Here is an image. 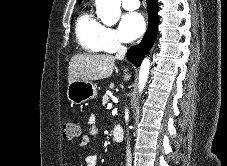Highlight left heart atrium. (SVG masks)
Returning a JSON list of instances; mask_svg holds the SVG:
<instances>
[{
	"instance_id": "obj_1",
	"label": "left heart atrium",
	"mask_w": 227,
	"mask_h": 166,
	"mask_svg": "<svg viewBox=\"0 0 227 166\" xmlns=\"http://www.w3.org/2000/svg\"><path fill=\"white\" fill-rule=\"evenodd\" d=\"M144 17L138 12L125 14L119 24V34L123 41L131 42L139 38L145 31Z\"/></svg>"
}]
</instances>
